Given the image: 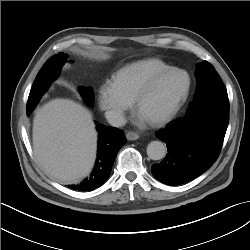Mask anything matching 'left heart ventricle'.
Segmentation results:
<instances>
[{"mask_svg": "<svg viewBox=\"0 0 250 250\" xmlns=\"http://www.w3.org/2000/svg\"><path fill=\"white\" fill-rule=\"evenodd\" d=\"M187 83L183 73H172L163 78L142 102L139 114L147 121L153 120L167 112L182 95Z\"/></svg>", "mask_w": 250, "mask_h": 250, "instance_id": "1", "label": "left heart ventricle"}]
</instances>
